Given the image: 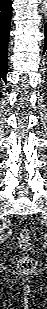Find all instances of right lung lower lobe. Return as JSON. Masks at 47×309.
I'll list each match as a JSON object with an SVG mask.
<instances>
[{"mask_svg": "<svg viewBox=\"0 0 47 309\" xmlns=\"http://www.w3.org/2000/svg\"><path fill=\"white\" fill-rule=\"evenodd\" d=\"M11 0H0V77L6 83Z\"/></svg>", "mask_w": 47, "mask_h": 309, "instance_id": "right-lung-lower-lobe-1", "label": "right lung lower lobe"}]
</instances>
